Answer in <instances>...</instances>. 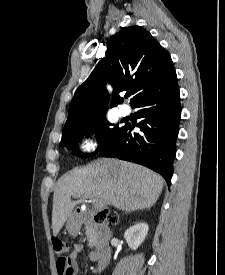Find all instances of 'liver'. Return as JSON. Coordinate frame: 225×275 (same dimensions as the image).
I'll list each match as a JSON object with an SVG mask.
<instances>
[{"label":"liver","instance_id":"obj_1","mask_svg":"<svg viewBox=\"0 0 225 275\" xmlns=\"http://www.w3.org/2000/svg\"><path fill=\"white\" fill-rule=\"evenodd\" d=\"M163 186L159 174L117 159L101 158L74 169L60 178L53 194V235L59 233L75 206L86 197L120 210H143L156 203ZM71 197L78 200L71 201Z\"/></svg>","mask_w":225,"mask_h":275}]
</instances>
